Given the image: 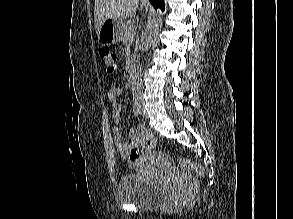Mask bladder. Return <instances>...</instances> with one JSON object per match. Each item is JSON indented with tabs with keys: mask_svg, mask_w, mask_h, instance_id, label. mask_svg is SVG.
<instances>
[{
	"mask_svg": "<svg viewBox=\"0 0 293 219\" xmlns=\"http://www.w3.org/2000/svg\"><path fill=\"white\" fill-rule=\"evenodd\" d=\"M116 196L123 204L134 205L142 209H154L165 200L167 190L140 174L129 173L120 178Z\"/></svg>",
	"mask_w": 293,
	"mask_h": 219,
	"instance_id": "1",
	"label": "bladder"
}]
</instances>
